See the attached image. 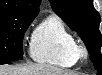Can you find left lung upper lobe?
<instances>
[{
	"label": "left lung upper lobe",
	"instance_id": "left-lung-upper-lobe-1",
	"mask_svg": "<svg viewBox=\"0 0 102 75\" xmlns=\"http://www.w3.org/2000/svg\"><path fill=\"white\" fill-rule=\"evenodd\" d=\"M52 9L76 31L87 46L91 61L98 74H102L100 48L102 37L99 32L100 16L92 0H49Z\"/></svg>",
	"mask_w": 102,
	"mask_h": 75
}]
</instances>
